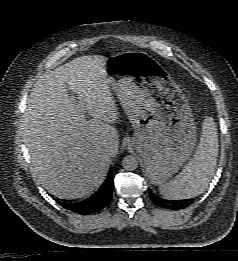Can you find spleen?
Segmentation results:
<instances>
[{
	"instance_id": "spleen-1",
	"label": "spleen",
	"mask_w": 238,
	"mask_h": 261,
	"mask_svg": "<svg viewBox=\"0 0 238 261\" xmlns=\"http://www.w3.org/2000/svg\"><path fill=\"white\" fill-rule=\"evenodd\" d=\"M217 157V127L212 117H206L195 154L173 180L160 185V193L171 200L189 199L202 194L212 179Z\"/></svg>"
}]
</instances>
